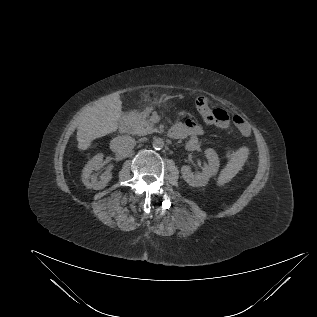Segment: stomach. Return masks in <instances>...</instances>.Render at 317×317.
I'll use <instances>...</instances> for the list:
<instances>
[{
	"instance_id": "obj_1",
	"label": "stomach",
	"mask_w": 317,
	"mask_h": 317,
	"mask_svg": "<svg viewBox=\"0 0 317 317\" xmlns=\"http://www.w3.org/2000/svg\"><path fill=\"white\" fill-rule=\"evenodd\" d=\"M155 96V92L154 91H148L144 94V99L145 101L151 102L152 97Z\"/></svg>"
}]
</instances>
